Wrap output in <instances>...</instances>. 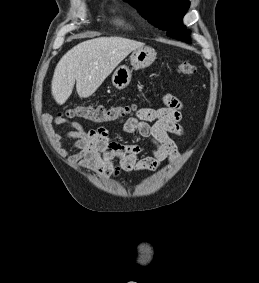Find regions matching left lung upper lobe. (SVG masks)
I'll use <instances>...</instances> for the list:
<instances>
[{"label":"left lung upper lobe","mask_w":259,"mask_h":283,"mask_svg":"<svg viewBox=\"0 0 259 283\" xmlns=\"http://www.w3.org/2000/svg\"><path fill=\"white\" fill-rule=\"evenodd\" d=\"M134 6L150 23L167 31V35L189 42L188 31L182 24L188 0H125Z\"/></svg>","instance_id":"5c2ea615"}]
</instances>
